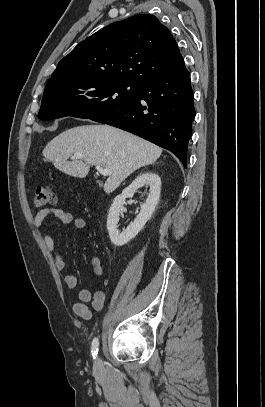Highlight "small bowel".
Here are the masks:
<instances>
[{
	"instance_id": "obj_1",
	"label": "small bowel",
	"mask_w": 265,
	"mask_h": 407,
	"mask_svg": "<svg viewBox=\"0 0 265 407\" xmlns=\"http://www.w3.org/2000/svg\"><path fill=\"white\" fill-rule=\"evenodd\" d=\"M49 215H54L62 224L65 225L73 223L74 227L77 230H82L86 226V221L84 218L74 217L71 213L57 208L40 209L34 218L35 226L41 227L43 222ZM43 240L47 250L54 257V264L56 269L60 272L64 271L66 268L65 260L61 253L57 250L55 241L47 230L43 231ZM92 263L94 266L95 273L97 275H102L103 269L100 264V260L98 258H94ZM64 283L66 287L69 289L76 288L77 286L76 275L73 273L66 274L64 276ZM76 298L78 300L72 305V311L76 316L81 317L85 320H90L92 318V312L88 307V303H91L93 309L96 311L102 310L105 303V294L101 290L92 294L90 290L86 288H80L76 292Z\"/></svg>"
}]
</instances>
